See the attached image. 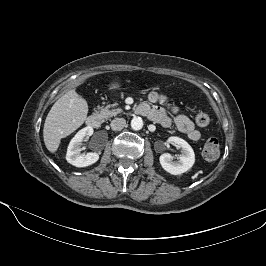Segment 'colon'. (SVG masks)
Masks as SVG:
<instances>
[{
	"mask_svg": "<svg viewBox=\"0 0 266 266\" xmlns=\"http://www.w3.org/2000/svg\"><path fill=\"white\" fill-rule=\"evenodd\" d=\"M195 123L199 127H206L210 123V117L208 113L204 111H198L194 117ZM220 153V145L216 138L212 137L205 141L202 148V155L206 160H215Z\"/></svg>",
	"mask_w": 266,
	"mask_h": 266,
	"instance_id": "obj_1",
	"label": "colon"
}]
</instances>
